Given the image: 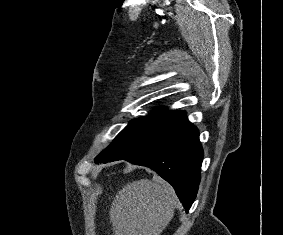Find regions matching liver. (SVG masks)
Here are the masks:
<instances>
[{
    "label": "liver",
    "instance_id": "obj_1",
    "mask_svg": "<svg viewBox=\"0 0 283 235\" xmlns=\"http://www.w3.org/2000/svg\"><path fill=\"white\" fill-rule=\"evenodd\" d=\"M177 196L162 179L128 183L115 196L110 211L114 235H160L174 216Z\"/></svg>",
    "mask_w": 283,
    "mask_h": 235
}]
</instances>
